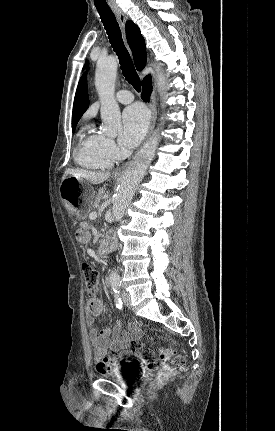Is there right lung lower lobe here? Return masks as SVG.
<instances>
[{
    "label": "right lung lower lobe",
    "mask_w": 275,
    "mask_h": 431,
    "mask_svg": "<svg viewBox=\"0 0 275 431\" xmlns=\"http://www.w3.org/2000/svg\"><path fill=\"white\" fill-rule=\"evenodd\" d=\"M151 76L148 75L142 80V86H143V92H142V99L144 101L149 102L150 93L152 91V85H151Z\"/></svg>",
    "instance_id": "right-lung-lower-lobe-1"
}]
</instances>
